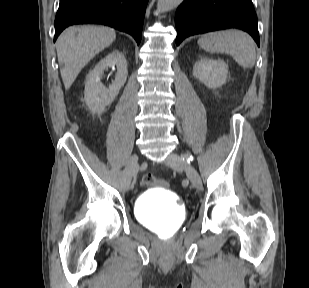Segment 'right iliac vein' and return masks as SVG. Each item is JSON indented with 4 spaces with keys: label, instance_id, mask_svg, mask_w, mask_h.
Returning a JSON list of instances; mask_svg holds the SVG:
<instances>
[{
    "label": "right iliac vein",
    "instance_id": "obj_1",
    "mask_svg": "<svg viewBox=\"0 0 309 288\" xmlns=\"http://www.w3.org/2000/svg\"><path fill=\"white\" fill-rule=\"evenodd\" d=\"M137 169H138V155L133 154L129 158L128 163L123 172V180L127 189L130 188L131 182L136 174Z\"/></svg>",
    "mask_w": 309,
    "mask_h": 288
}]
</instances>
